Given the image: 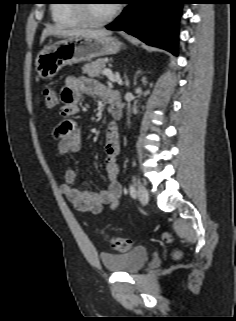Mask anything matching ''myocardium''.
Listing matches in <instances>:
<instances>
[{"label":"myocardium","instance_id":"f54148a6","mask_svg":"<svg viewBox=\"0 0 236 321\" xmlns=\"http://www.w3.org/2000/svg\"><path fill=\"white\" fill-rule=\"evenodd\" d=\"M91 1L92 0H77L75 6L77 13L83 19L84 23H86L89 26L97 27L108 24L111 21H113L120 13V6L114 4L112 11L106 17L102 19L94 18L90 13Z\"/></svg>","mask_w":236,"mask_h":321}]
</instances>
